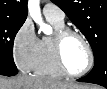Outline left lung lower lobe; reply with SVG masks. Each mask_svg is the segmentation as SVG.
<instances>
[{
  "label": "left lung lower lobe",
  "instance_id": "obj_1",
  "mask_svg": "<svg viewBox=\"0 0 107 89\" xmlns=\"http://www.w3.org/2000/svg\"><path fill=\"white\" fill-rule=\"evenodd\" d=\"M77 81L95 83L107 88V53L94 60L91 72Z\"/></svg>",
  "mask_w": 107,
  "mask_h": 89
}]
</instances>
